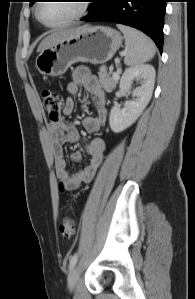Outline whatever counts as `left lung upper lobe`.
<instances>
[{
  "mask_svg": "<svg viewBox=\"0 0 195 299\" xmlns=\"http://www.w3.org/2000/svg\"><path fill=\"white\" fill-rule=\"evenodd\" d=\"M35 3V0H30V6H32Z\"/></svg>",
  "mask_w": 195,
  "mask_h": 299,
  "instance_id": "left-lung-upper-lobe-1",
  "label": "left lung upper lobe"
}]
</instances>
